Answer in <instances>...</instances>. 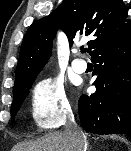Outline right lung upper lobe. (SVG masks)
<instances>
[{
	"instance_id": "obj_1",
	"label": "right lung upper lobe",
	"mask_w": 131,
	"mask_h": 151,
	"mask_svg": "<svg viewBox=\"0 0 131 151\" xmlns=\"http://www.w3.org/2000/svg\"><path fill=\"white\" fill-rule=\"evenodd\" d=\"M127 17L128 10L122 0H64L55 11L27 30L13 90L28 84L44 67L58 28L69 39L89 36L87 45L91 55L103 44L131 31Z\"/></svg>"
}]
</instances>
